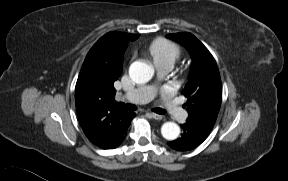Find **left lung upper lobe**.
<instances>
[{"label": "left lung upper lobe", "instance_id": "1", "mask_svg": "<svg viewBox=\"0 0 288 181\" xmlns=\"http://www.w3.org/2000/svg\"><path fill=\"white\" fill-rule=\"evenodd\" d=\"M183 44L192 57L193 67L184 89L188 98V120L214 126L222 101V85L217 64L208 49L191 33L168 34Z\"/></svg>", "mask_w": 288, "mask_h": 181}]
</instances>
